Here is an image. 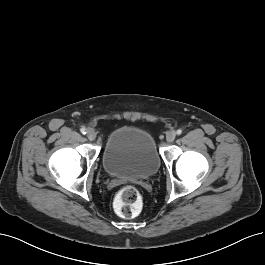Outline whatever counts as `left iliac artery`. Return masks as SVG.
I'll return each mask as SVG.
<instances>
[{"label": "left iliac artery", "mask_w": 265, "mask_h": 265, "mask_svg": "<svg viewBox=\"0 0 265 265\" xmlns=\"http://www.w3.org/2000/svg\"><path fill=\"white\" fill-rule=\"evenodd\" d=\"M176 133H177V135H181L182 134V130L178 129Z\"/></svg>", "instance_id": "left-iliac-artery-1"}]
</instances>
